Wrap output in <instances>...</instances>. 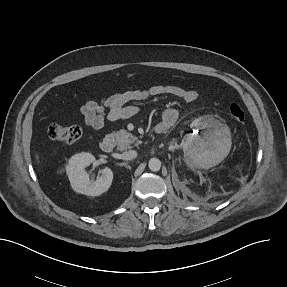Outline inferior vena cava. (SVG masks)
Instances as JSON below:
<instances>
[{
	"instance_id": "inferior-vena-cava-1",
	"label": "inferior vena cava",
	"mask_w": 287,
	"mask_h": 287,
	"mask_svg": "<svg viewBox=\"0 0 287 287\" xmlns=\"http://www.w3.org/2000/svg\"><path fill=\"white\" fill-rule=\"evenodd\" d=\"M137 157V152L135 150L125 151L122 154L124 160H132Z\"/></svg>"
}]
</instances>
